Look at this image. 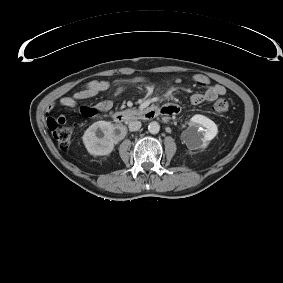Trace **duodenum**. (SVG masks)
<instances>
[{"label":"duodenum","instance_id":"obj_1","mask_svg":"<svg viewBox=\"0 0 283 283\" xmlns=\"http://www.w3.org/2000/svg\"><path fill=\"white\" fill-rule=\"evenodd\" d=\"M163 113L158 107L147 108L137 112H116L113 115L114 122L124 127L125 123L135 120H150Z\"/></svg>","mask_w":283,"mask_h":283}]
</instances>
